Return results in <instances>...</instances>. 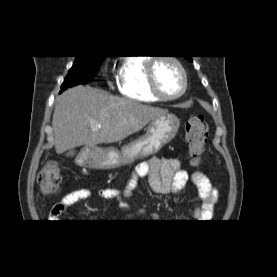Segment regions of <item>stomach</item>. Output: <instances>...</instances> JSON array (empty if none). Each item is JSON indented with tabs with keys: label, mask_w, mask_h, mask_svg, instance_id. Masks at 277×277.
Wrapping results in <instances>:
<instances>
[{
	"label": "stomach",
	"mask_w": 277,
	"mask_h": 277,
	"mask_svg": "<svg viewBox=\"0 0 277 277\" xmlns=\"http://www.w3.org/2000/svg\"><path fill=\"white\" fill-rule=\"evenodd\" d=\"M180 121L174 114L167 113L153 119L146 134L138 140L125 146L121 152L114 149L86 148L78 158V163L84 166L100 169H113L131 163L139 156L157 153L177 134Z\"/></svg>",
	"instance_id": "1"
}]
</instances>
